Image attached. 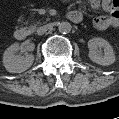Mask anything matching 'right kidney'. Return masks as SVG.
<instances>
[{"label":"right kidney","instance_id":"ca27d5eb","mask_svg":"<svg viewBox=\"0 0 119 119\" xmlns=\"http://www.w3.org/2000/svg\"><path fill=\"white\" fill-rule=\"evenodd\" d=\"M19 50V44L14 43L6 49L3 55V63L8 72L21 73L31 67L34 56L25 54V56L16 55Z\"/></svg>","mask_w":119,"mask_h":119}]
</instances>
